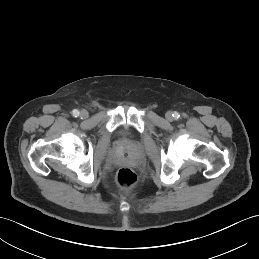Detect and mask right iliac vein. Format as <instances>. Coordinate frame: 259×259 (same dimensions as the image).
Masks as SVG:
<instances>
[{
    "label": "right iliac vein",
    "instance_id": "1",
    "mask_svg": "<svg viewBox=\"0 0 259 259\" xmlns=\"http://www.w3.org/2000/svg\"><path fill=\"white\" fill-rule=\"evenodd\" d=\"M88 112L86 111V110H82L81 112H80V117L82 118V119H86L87 117H88Z\"/></svg>",
    "mask_w": 259,
    "mask_h": 259
}]
</instances>
